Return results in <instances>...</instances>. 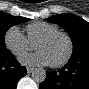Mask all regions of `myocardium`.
Returning a JSON list of instances; mask_svg holds the SVG:
<instances>
[{"mask_svg": "<svg viewBox=\"0 0 89 89\" xmlns=\"http://www.w3.org/2000/svg\"><path fill=\"white\" fill-rule=\"evenodd\" d=\"M57 36H63V37L66 38L67 43H68V51H67L66 56L62 60H60L56 63H51L50 64L54 68L63 67L72 58L73 52H74V43H73V40H72L71 36L68 33L64 32V31L58 30V31H54V32H51V33H48V34L44 35L34 45L35 49H37V47L40 43L50 41V40H52L53 38H55Z\"/></svg>", "mask_w": 89, "mask_h": 89, "instance_id": "obj_1", "label": "myocardium"}]
</instances>
